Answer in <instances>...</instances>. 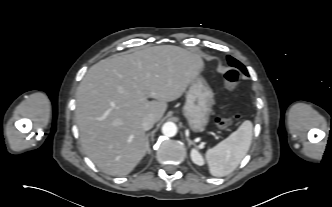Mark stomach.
Returning <instances> with one entry per match:
<instances>
[{
	"label": "stomach",
	"instance_id": "1",
	"mask_svg": "<svg viewBox=\"0 0 332 207\" xmlns=\"http://www.w3.org/2000/svg\"><path fill=\"white\" fill-rule=\"evenodd\" d=\"M212 104V89L206 80L198 75L189 85L183 107V114L192 131L199 132L207 126Z\"/></svg>",
	"mask_w": 332,
	"mask_h": 207
}]
</instances>
